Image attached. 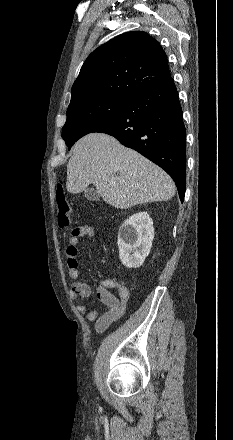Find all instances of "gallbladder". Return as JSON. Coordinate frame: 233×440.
Segmentation results:
<instances>
[{
    "label": "gallbladder",
    "mask_w": 233,
    "mask_h": 440,
    "mask_svg": "<svg viewBox=\"0 0 233 440\" xmlns=\"http://www.w3.org/2000/svg\"><path fill=\"white\" fill-rule=\"evenodd\" d=\"M85 197L90 201H99L100 195L94 188H86L84 191Z\"/></svg>",
    "instance_id": "bac80fb5"
}]
</instances>
